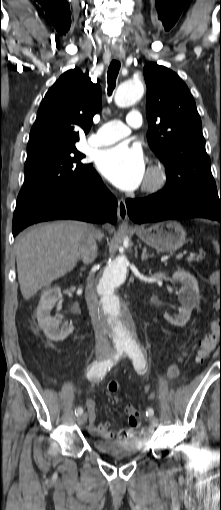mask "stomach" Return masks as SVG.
<instances>
[{
	"label": "stomach",
	"instance_id": "0dacf381",
	"mask_svg": "<svg viewBox=\"0 0 221 510\" xmlns=\"http://www.w3.org/2000/svg\"><path fill=\"white\" fill-rule=\"evenodd\" d=\"M136 234L147 245L165 252L181 248L186 239L185 230L176 221H164L148 228L139 227Z\"/></svg>",
	"mask_w": 221,
	"mask_h": 510
}]
</instances>
